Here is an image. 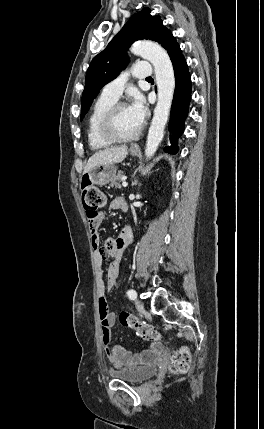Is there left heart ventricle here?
I'll list each match as a JSON object with an SVG mask.
<instances>
[{
  "mask_svg": "<svg viewBox=\"0 0 264 429\" xmlns=\"http://www.w3.org/2000/svg\"><path fill=\"white\" fill-rule=\"evenodd\" d=\"M140 123L134 118L129 107L120 109L115 117L114 129L120 136L133 135L140 127Z\"/></svg>",
  "mask_w": 264,
  "mask_h": 429,
  "instance_id": "1",
  "label": "left heart ventricle"
}]
</instances>
